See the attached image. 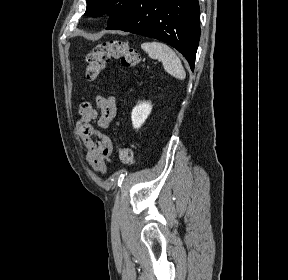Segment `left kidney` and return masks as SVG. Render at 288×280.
Listing matches in <instances>:
<instances>
[{
    "instance_id": "5707ae66",
    "label": "left kidney",
    "mask_w": 288,
    "mask_h": 280,
    "mask_svg": "<svg viewBox=\"0 0 288 280\" xmlns=\"http://www.w3.org/2000/svg\"><path fill=\"white\" fill-rule=\"evenodd\" d=\"M152 105L150 102H140L131 113L132 124L135 129H139L151 113Z\"/></svg>"
}]
</instances>
